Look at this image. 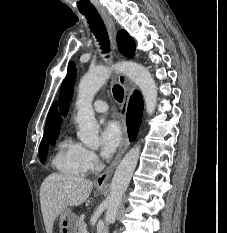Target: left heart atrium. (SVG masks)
I'll return each mask as SVG.
<instances>
[{
    "mask_svg": "<svg viewBox=\"0 0 227 233\" xmlns=\"http://www.w3.org/2000/svg\"><path fill=\"white\" fill-rule=\"evenodd\" d=\"M101 148L100 152L103 157H110L121 144L122 132L116 121L107 122L100 134Z\"/></svg>",
    "mask_w": 227,
    "mask_h": 233,
    "instance_id": "obj_1",
    "label": "left heart atrium"
}]
</instances>
